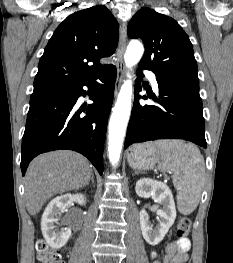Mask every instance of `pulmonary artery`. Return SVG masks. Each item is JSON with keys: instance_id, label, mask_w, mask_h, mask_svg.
I'll return each instance as SVG.
<instances>
[{"instance_id": "1", "label": "pulmonary artery", "mask_w": 233, "mask_h": 263, "mask_svg": "<svg viewBox=\"0 0 233 263\" xmlns=\"http://www.w3.org/2000/svg\"><path fill=\"white\" fill-rule=\"evenodd\" d=\"M146 77L150 80L151 85L155 91H158V82L156 79V75L152 71H144Z\"/></svg>"}]
</instances>
